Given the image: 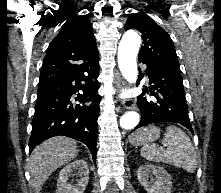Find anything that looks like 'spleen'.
<instances>
[{
    "mask_svg": "<svg viewBox=\"0 0 221 193\" xmlns=\"http://www.w3.org/2000/svg\"><path fill=\"white\" fill-rule=\"evenodd\" d=\"M162 144L163 147L144 145L141 156L149 161L182 167L187 172L196 170L197 161L193 144L180 128L168 126Z\"/></svg>",
    "mask_w": 221,
    "mask_h": 193,
    "instance_id": "spleen-1",
    "label": "spleen"
}]
</instances>
